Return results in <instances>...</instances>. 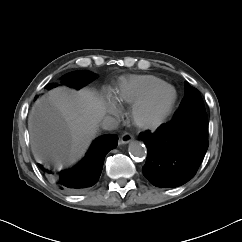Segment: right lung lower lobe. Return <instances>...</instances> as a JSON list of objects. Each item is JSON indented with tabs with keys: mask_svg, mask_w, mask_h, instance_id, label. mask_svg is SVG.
<instances>
[{
	"mask_svg": "<svg viewBox=\"0 0 242 242\" xmlns=\"http://www.w3.org/2000/svg\"><path fill=\"white\" fill-rule=\"evenodd\" d=\"M117 141L116 135L107 134L98 137L76 165L62 171H54L40 164L38 166L57 188L70 193H78L98 181L105 156L117 146Z\"/></svg>",
	"mask_w": 242,
	"mask_h": 242,
	"instance_id": "98d812e1",
	"label": "right lung lower lobe"
}]
</instances>
